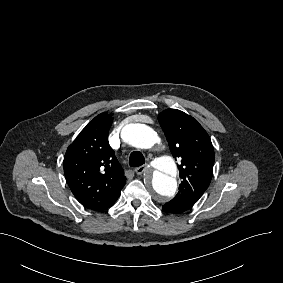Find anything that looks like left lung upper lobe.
<instances>
[{"label": "left lung upper lobe", "mask_w": 283, "mask_h": 283, "mask_svg": "<svg viewBox=\"0 0 283 283\" xmlns=\"http://www.w3.org/2000/svg\"><path fill=\"white\" fill-rule=\"evenodd\" d=\"M172 155L178 165L181 184L177 195L168 204L193 206L208 188L214 165V149L209 135L191 116L167 109L158 117Z\"/></svg>", "instance_id": "1"}]
</instances>
